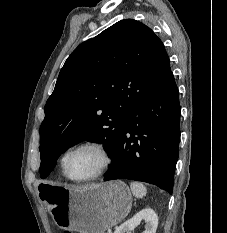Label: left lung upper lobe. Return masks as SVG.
<instances>
[{
  "label": "left lung upper lobe",
  "instance_id": "5c2ea615",
  "mask_svg": "<svg viewBox=\"0 0 227 233\" xmlns=\"http://www.w3.org/2000/svg\"><path fill=\"white\" fill-rule=\"evenodd\" d=\"M171 73L162 41L146 25L121 20L80 44L61 69L40 127V176L87 140L104 143L111 161L130 112Z\"/></svg>",
  "mask_w": 227,
  "mask_h": 233
}]
</instances>
